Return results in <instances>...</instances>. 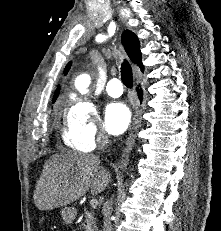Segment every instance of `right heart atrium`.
I'll return each instance as SVG.
<instances>
[{
    "label": "right heart atrium",
    "instance_id": "right-heart-atrium-1",
    "mask_svg": "<svg viewBox=\"0 0 221 231\" xmlns=\"http://www.w3.org/2000/svg\"><path fill=\"white\" fill-rule=\"evenodd\" d=\"M64 139L80 151H91L107 141L93 103L82 98L70 103L65 116Z\"/></svg>",
    "mask_w": 221,
    "mask_h": 231
}]
</instances>
